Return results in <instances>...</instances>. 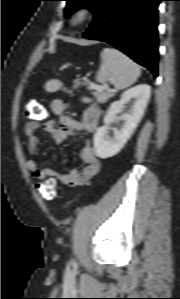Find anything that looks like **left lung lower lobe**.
Returning a JSON list of instances; mask_svg holds the SVG:
<instances>
[{
  "instance_id": "0a47b994",
  "label": "left lung lower lobe",
  "mask_w": 180,
  "mask_h": 299,
  "mask_svg": "<svg viewBox=\"0 0 180 299\" xmlns=\"http://www.w3.org/2000/svg\"><path fill=\"white\" fill-rule=\"evenodd\" d=\"M163 0H102L83 37L119 49L158 75V5Z\"/></svg>"
}]
</instances>
